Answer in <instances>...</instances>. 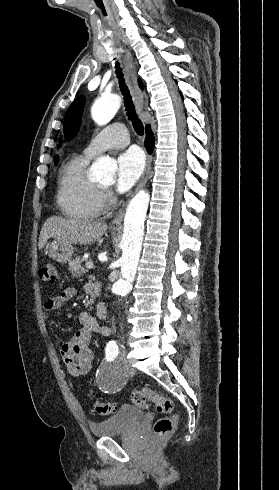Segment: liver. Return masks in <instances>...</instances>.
Returning <instances> with one entry per match:
<instances>
[{
    "label": "liver",
    "mask_w": 279,
    "mask_h": 490,
    "mask_svg": "<svg viewBox=\"0 0 279 490\" xmlns=\"http://www.w3.org/2000/svg\"><path fill=\"white\" fill-rule=\"evenodd\" d=\"M107 230L106 224L90 222L83 218H74V220H65L52 216L44 222L38 242L39 250L44 248L49 238H54L57 242H69V244H89L97 242L102 238Z\"/></svg>",
    "instance_id": "liver-1"
}]
</instances>
